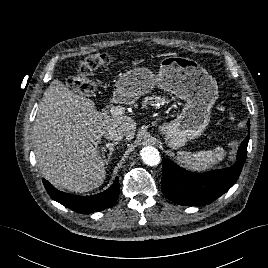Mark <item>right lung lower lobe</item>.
I'll use <instances>...</instances> for the list:
<instances>
[{
  "label": "right lung lower lobe",
  "instance_id": "98d812e1",
  "mask_svg": "<svg viewBox=\"0 0 268 268\" xmlns=\"http://www.w3.org/2000/svg\"><path fill=\"white\" fill-rule=\"evenodd\" d=\"M43 184L50 197L65 207L80 213H92L104 210L113 205L119 196V179L106 191L91 196H76L55 189L47 180Z\"/></svg>",
  "mask_w": 268,
  "mask_h": 268
}]
</instances>
